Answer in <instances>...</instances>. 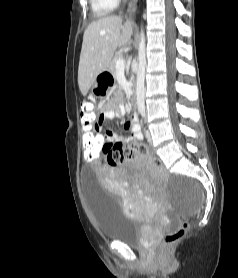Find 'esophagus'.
I'll list each match as a JSON object with an SVG mask.
<instances>
[{
  "label": "esophagus",
  "instance_id": "1",
  "mask_svg": "<svg viewBox=\"0 0 238 278\" xmlns=\"http://www.w3.org/2000/svg\"><path fill=\"white\" fill-rule=\"evenodd\" d=\"M138 0H131L129 3V11L132 12Z\"/></svg>",
  "mask_w": 238,
  "mask_h": 278
}]
</instances>
